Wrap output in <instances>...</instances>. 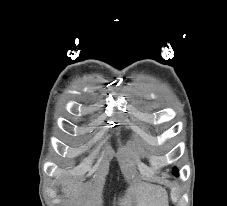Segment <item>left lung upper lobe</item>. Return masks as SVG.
Returning <instances> with one entry per match:
<instances>
[{
	"label": "left lung upper lobe",
	"mask_w": 227,
	"mask_h": 206,
	"mask_svg": "<svg viewBox=\"0 0 227 206\" xmlns=\"http://www.w3.org/2000/svg\"><path fill=\"white\" fill-rule=\"evenodd\" d=\"M173 172H174V174H176V175H177V170H176V169H174V171H173Z\"/></svg>",
	"instance_id": "left-lung-upper-lobe-1"
}]
</instances>
